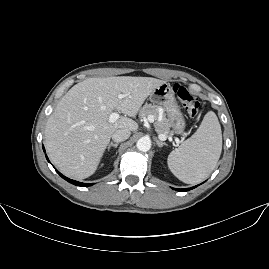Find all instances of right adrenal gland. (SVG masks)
I'll return each mask as SVG.
<instances>
[{
    "label": "right adrenal gland",
    "mask_w": 269,
    "mask_h": 269,
    "mask_svg": "<svg viewBox=\"0 0 269 269\" xmlns=\"http://www.w3.org/2000/svg\"><path fill=\"white\" fill-rule=\"evenodd\" d=\"M118 145H119V143L117 142V143H113V142H111V143H109L108 144V147H107V149H108V151L110 150V148H111V146H113V147H115V148H117L118 147Z\"/></svg>",
    "instance_id": "2a0ac1e0"
}]
</instances>
